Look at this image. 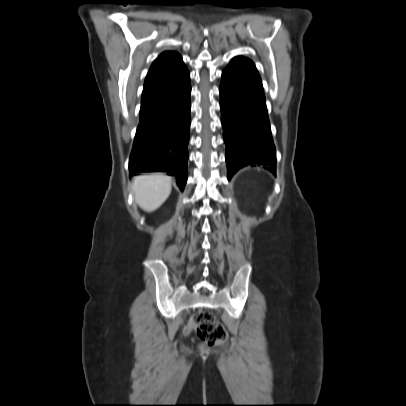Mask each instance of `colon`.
I'll return each instance as SVG.
<instances>
[{
    "instance_id": "obj_1",
    "label": "colon",
    "mask_w": 406,
    "mask_h": 406,
    "mask_svg": "<svg viewBox=\"0 0 406 406\" xmlns=\"http://www.w3.org/2000/svg\"><path fill=\"white\" fill-rule=\"evenodd\" d=\"M195 330L198 337L207 345H215L227 338L224 326L218 321L213 313L207 310L196 312L189 323L187 332Z\"/></svg>"
}]
</instances>
